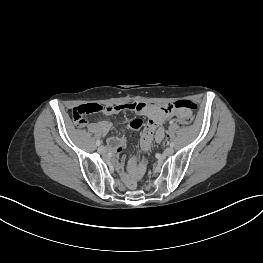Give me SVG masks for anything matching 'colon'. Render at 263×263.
<instances>
[{"mask_svg": "<svg viewBox=\"0 0 263 263\" xmlns=\"http://www.w3.org/2000/svg\"><path fill=\"white\" fill-rule=\"evenodd\" d=\"M176 103H180L182 106L184 104H189L192 107V111L196 110L197 105L190 100H180ZM106 107L97 103H89L76 107L73 110V119L78 126H82L85 122V116L93 113H103ZM193 117L184 116V118H171L167 120V126H172L174 123H181V125H191Z\"/></svg>", "mask_w": 263, "mask_h": 263, "instance_id": "5ec220e1", "label": "colon"}]
</instances>
